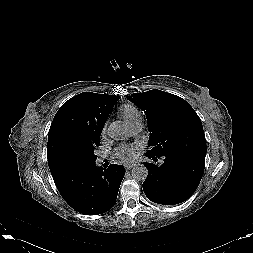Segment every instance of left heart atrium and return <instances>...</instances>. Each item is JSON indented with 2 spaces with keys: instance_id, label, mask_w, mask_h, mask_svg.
Returning a JSON list of instances; mask_svg holds the SVG:
<instances>
[{
  "instance_id": "1",
  "label": "left heart atrium",
  "mask_w": 253,
  "mask_h": 253,
  "mask_svg": "<svg viewBox=\"0 0 253 253\" xmlns=\"http://www.w3.org/2000/svg\"><path fill=\"white\" fill-rule=\"evenodd\" d=\"M135 153V148L130 145H122L117 148L116 154L124 160H131Z\"/></svg>"
}]
</instances>
